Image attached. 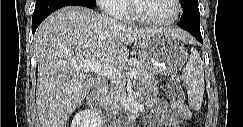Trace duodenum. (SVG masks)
Returning a JSON list of instances; mask_svg holds the SVG:
<instances>
[{
	"instance_id": "410a0bca",
	"label": "duodenum",
	"mask_w": 243,
	"mask_h": 127,
	"mask_svg": "<svg viewBox=\"0 0 243 127\" xmlns=\"http://www.w3.org/2000/svg\"><path fill=\"white\" fill-rule=\"evenodd\" d=\"M105 89V82L103 79L96 81L95 88L87 97V105L94 113H101L102 111V92ZM142 111V106L139 103H134L130 106L128 115L130 120L133 121L137 118L138 114Z\"/></svg>"
}]
</instances>
